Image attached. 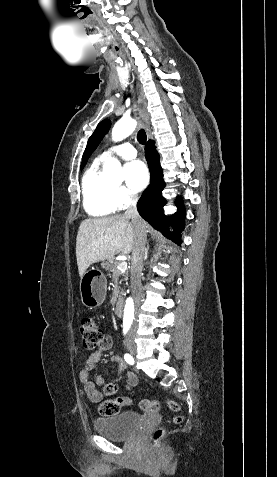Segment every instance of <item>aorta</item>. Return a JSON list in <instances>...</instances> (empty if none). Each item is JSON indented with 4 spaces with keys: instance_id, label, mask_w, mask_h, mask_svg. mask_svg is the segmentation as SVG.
<instances>
[{
    "instance_id": "obj_1",
    "label": "aorta",
    "mask_w": 277,
    "mask_h": 477,
    "mask_svg": "<svg viewBox=\"0 0 277 477\" xmlns=\"http://www.w3.org/2000/svg\"><path fill=\"white\" fill-rule=\"evenodd\" d=\"M137 123L134 119H121L112 129V139L115 142L121 141L129 136L136 128ZM103 173L109 180L122 182L123 174L120 162L116 158H111L109 162L103 165ZM134 319V302L131 297L127 298L124 308L123 325H131Z\"/></svg>"
}]
</instances>
